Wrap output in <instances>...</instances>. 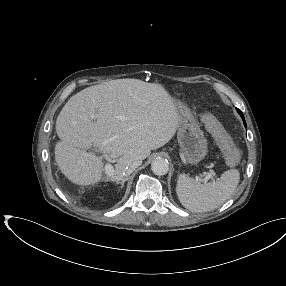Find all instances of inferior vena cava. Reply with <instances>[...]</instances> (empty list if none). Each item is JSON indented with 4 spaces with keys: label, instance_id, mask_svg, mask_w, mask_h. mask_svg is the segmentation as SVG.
Returning <instances> with one entry per match:
<instances>
[{
    "label": "inferior vena cava",
    "instance_id": "602c4592",
    "mask_svg": "<svg viewBox=\"0 0 286 286\" xmlns=\"http://www.w3.org/2000/svg\"><path fill=\"white\" fill-rule=\"evenodd\" d=\"M142 164V160L140 158H134L127 161L125 168V176L130 175L137 167Z\"/></svg>",
    "mask_w": 286,
    "mask_h": 286
}]
</instances>
